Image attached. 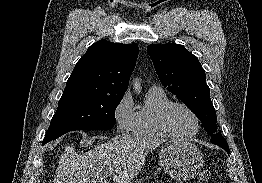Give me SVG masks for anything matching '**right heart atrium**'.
Returning a JSON list of instances; mask_svg holds the SVG:
<instances>
[{"instance_id": "1", "label": "right heart atrium", "mask_w": 262, "mask_h": 183, "mask_svg": "<svg viewBox=\"0 0 262 183\" xmlns=\"http://www.w3.org/2000/svg\"><path fill=\"white\" fill-rule=\"evenodd\" d=\"M113 117L116 124L117 132L127 133L132 130L135 118V110L130 93H125L116 104Z\"/></svg>"}]
</instances>
